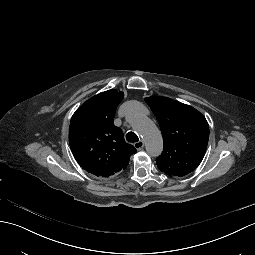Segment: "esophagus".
I'll use <instances>...</instances> for the list:
<instances>
[{"instance_id": "obj_1", "label": "esophagus", "mask_w": 255, "mask_h": 255, "mask_svg": "<svg viewBox=\"0 0 255 255\" xmlns=\"http://www.w3.org/2000/svg\"><path fill=\"white\" fill-rule=\"evenodd\" d=\"M134 147L139 151L142 150L144 147V141L143 140H139L138 142L134 143Z\"/></svg>"}]
</instances>
